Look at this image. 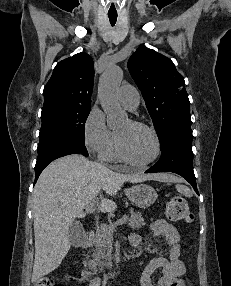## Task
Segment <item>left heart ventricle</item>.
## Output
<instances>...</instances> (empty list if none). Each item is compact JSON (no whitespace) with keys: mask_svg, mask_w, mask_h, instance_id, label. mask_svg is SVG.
<instances>
[{"mask_svg":"<svg viewBox=\"0 0 231 286\" xmlns=\"http://www.w3.org/2000/svg\"><path fill=\"white\" fill-rule=\"evenodd\" d=\"M115 132L125 155L132 161L143 163L153 156L155 143L146 130L126 121Z\"/></svg>","mask_w":231,"mask_h":286,"instance_id":"left-heart-ventricle-1","label":"left heart ventricle"}]
</instances>
